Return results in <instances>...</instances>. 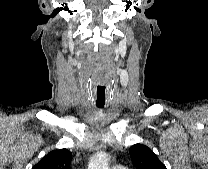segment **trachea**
Masks as SVG:
<instances>
[{"mask_svg":"<svg viewBox=\"0 0 208 169\" xmlns=\"http://www.w3.org/2000/svg\"><path fill=\"white\" fill-rule=\"evenodd\" d=\"M97 107H98L99 109H103V108H104V106H99V105H97Z\"/></svg>","mask_w":208,"mask_h":169,"instance_id":"trachea-1","label":"trachea"}]
</instances>
